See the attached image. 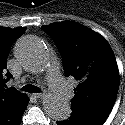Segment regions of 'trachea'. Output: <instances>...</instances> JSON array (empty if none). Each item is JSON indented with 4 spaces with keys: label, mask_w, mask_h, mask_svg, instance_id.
I'll list each match as a JSON object with an SVG mask.
<instances>
[{
    "label": "trachea",
    "mask_w": 125,
    "mask_h": 125,
    "mask_svg": "<svg viewBox=\"0 0 125 125\" xmlns=\"http://www.w3.org/2000/svg\"><path fill=\"white\" fill-rule=\"evenodd\" d=\"M21 90H23L25 92H29V93H39L40 92V89L37 86L32 85V84L25 85L24 87H22Z\"/></svg>",
    "instance_id": "3493384b"
}]
</instances>
